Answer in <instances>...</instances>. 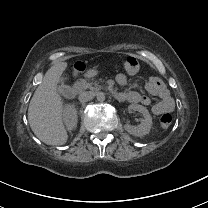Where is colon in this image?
Wrapping results in <instances>:
<instances>
[{
	"mask_svg": "<svg viewBox=\"0 0 208 208\" xmlns=\"http://www.w3.org/2000/svg\"><path fill=\"white\" fill-rule=\"evenodd\" d=\"M122 69L123 71L128 75L136 74L140 69V64L138 59L133 56L129 55L127 56L123 63H122ZM86 70L85 62L78 61L75 63V73L76 75L82 74ZM173 122V117L170 113H166L162 115L160 118V127L162 129H168Z\"/></svg>",
	"mask_w": 208,
	"mask_h": 208,
	"instance_id": "colon-1",
	"label": "colon"
}]
</instances>
